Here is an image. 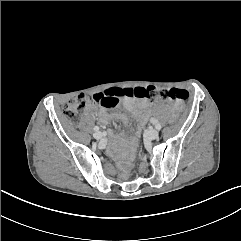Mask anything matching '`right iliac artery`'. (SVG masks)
I'll return each instance as SVG.
<instances>
[{
	"instance_id": "1",
	"label": "right iliac artery",
	"mask_w": 241,
	"mask_h": 241,
	"mask_svg": "<svg viewBox=\"0 0 241 241\" xmlns=\"http://www.w3.org/2000/svg\"><path fill=\"white\" fill-rule=\"evenodd\" d=\"M99 130V127L98 126H95L94 127V131H98Z\"/></svg>"
}]
</instances>
